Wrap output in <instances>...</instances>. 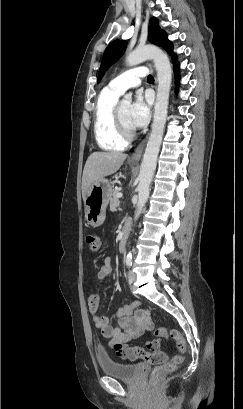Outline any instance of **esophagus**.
Returning <instances> with one entry per match:
<instances>
[{
    "label": "esophagus",
    "instance_id": "obj_1",
    "mask_svg": "<svg viewBox=\"0 0 243 409\" xmlns=\"http://www.w3.org/2000/svg\"><path fill=\"white\" fill-rule=\"evenodd\" d=\"M147 138L148 136L135 148L134 152L129 158L130 162L136 163L140 161Z\"/></svg>",
    "mask_w": 243,
    "mask_h": 409
}]
</instances>
